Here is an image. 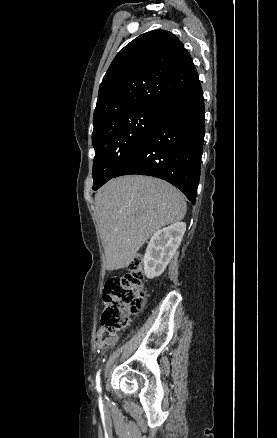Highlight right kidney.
<instances>
[{
    "label": "right kidney",
    "instance_id": "right-kidney-1",
    "mask_svg": "<svg viewBox=\"0 0 277 438\" xmlns=\"http://www.w3.org/2000/svg\"><path fill=\"white\" fill-rule=\"evenodd\" d=\"M186 232L185 222H176L153 234L145 252L143 266L148 280L161 276L173 258Z\"/></svg>",
    "mask_w": 277,
    "mask_h": 438
}]
</instances>
